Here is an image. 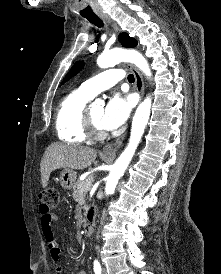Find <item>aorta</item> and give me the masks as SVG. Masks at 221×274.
<instances>
[{"mask_svg":"<svg viewBox=\"0 0 221 274\" xmlns=\"http://www.w3.org/2000/svg\"><path fill=\"white\" fill-rule=\"evenodd\" d=\"M131 62L135 64L147 77H151V71L147 60L142 54L135 50L113 49L101 54L97 58V65L100 68L113 67L119 62ZM151 97L147 96L138 106L132 121L130 139L127 147L114 163L106 181L105 193L112 194L115 191L119 179L127 169L138 144L141 141L145 127L149 120L151 110Z\"/></svg>","mask_w":221,"mask_h":274,"instance_id":"1","label":"aorta"}]
</instances>
